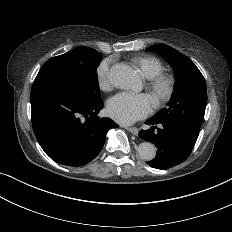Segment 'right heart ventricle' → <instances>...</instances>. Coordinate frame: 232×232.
<instances>
[{"label":"right heart ventricle","instance_id":"obj_1","mask_svg":"<svg viewBox=\"0 0 232 232\" xmlns=\"http://www.w3.org/2000/svg\"><path fill=\"white\" fill-rule=\"evenodd\" d=\"M135 61L140 68L141 75L145 79L154 78L160 75L164 70L162 63L153 56H149V55L139 56L136 58Z\"/></svg>","mask_w":232,"mask_h":232}]
</instances>
